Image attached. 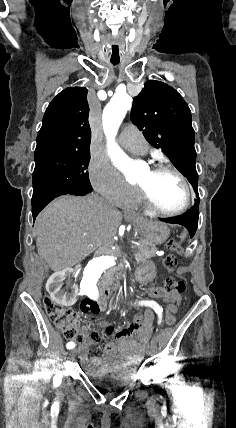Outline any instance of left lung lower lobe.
Here are the masks:
<instances>
[{"instance_id":"0a47b994","label":"left lung lower lobe","mask_w":236,"mask_h":428,"mask_svg":"<svg viewBox=\"0 0 236 428\" xmlns=\"http://www.w3.org/2000/svg\"><path fill=\"white\" fill-rule=\"evenodd\" d=\"M196 195L198 197V193H196ZM199 201V198L195 199L194 206L181 216L173 218H160V220L167 223L180 224L185 226L188 229L191 237H193L198 226Z\"/></svg>"}]
</instances>
